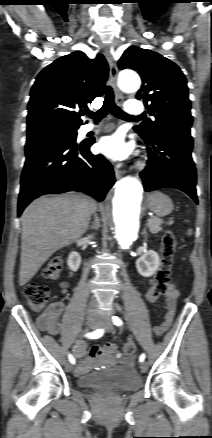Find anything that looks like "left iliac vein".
Returning <instances> with one entry per match:
<instances>
[{
	"label": "left iliac vein",
	"mask_w": 212,
	"mask_h": 438,
	"mask_svg": "<svg viewBox=\"0 0 212 438\" xmlns=\"http://www.w3.org/2000/svg\"><path fill=\"white\" fill-rule=\"evenodd\" d=\"M99 327L104 328L105 330L112 332L113 331V325L108 317H102L99 320ZM148 369V364L146 362H142L140 364V370L141 372H146Z\"/></svg>",
	"instance_id": "1"
}]
</instances>
